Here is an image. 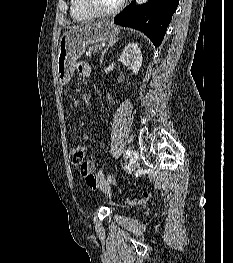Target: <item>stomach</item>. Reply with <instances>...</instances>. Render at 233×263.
I'll return each mask as SVG.
<instances>
[{
    "label": "stomach",
    "instance_id": "1",
    "mask_svg": "<svg viewBox=\"0 0 233 263\" xmlns=\"http://www.w3.org/2000/svg\"><path fill=\"white\" fill-rule=\"evenodd\" d=\"M118 34V26L107 20L65 32L60 38L56 59L59 84L69 82L76 60L85 52L87 45L114 40Z\"/></svg>",
    "mask_w": 233,
    "mask_h": 263
}]
</instances>
